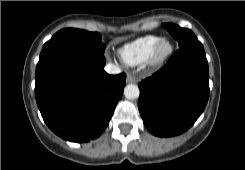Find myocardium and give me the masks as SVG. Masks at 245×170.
<instances>
[{
    "label": "myocardium",
    "mask_w": 245,
    "mask_h": 170,
    "mask_svg": "<svg viewBox=\"0 0 245 170\" xmlns=\"http://www.w3.org/2000/svg\"><path fill=\"white\" fill-rule=\"evenodd\" d=\"M172 53V42L169 39L163 38L160 39L156 44L148 61L152 66H159L163 64L171 56Z\"/></svg>",
    "instance_id": "myocardium-1"
}]
</instances>
